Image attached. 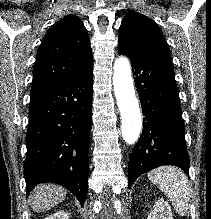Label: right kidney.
I'll return each instance as SVG.
<instances>
[{
  "label": "right kidney",
  "instance_id": "obj_1",
  "mask_svg": "<svg viewBox=\"0 0 211 219\" xmlns=\"http://www.w3.org/2000/svg\"><path fill=\"white\" fill-rule=\"evenodd\" d=\"M45 219H69V214L64 211H58L46 217Z\"/></svg>",
  "mask_w": 211,
  "mask_h": 219
}]
</instances>
